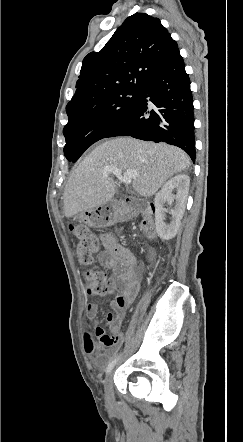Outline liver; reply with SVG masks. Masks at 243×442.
Listing matches in <instances>:
<instances>
[{
	"mask_svg": "<svg viewBox=\"0 0 243 442\" xmlns=\"http://www.w3.org/2000/svg\"><path fill=\"white\" fill-rule=\"evenodd\" d=\"M190 164L188 155L178 147L130 137L108 140L89 153L71 173L64 191V214L70 218L102 206L114 197V180L103 176L107 166L117 167L121 172L136 170L134 190L150 197L167 179Z\"/></svg>",
	"mask_w": 243,
	"mask_h": 442,
	"instance_id": "1",
	"label": "liver"
}]
</instances>
